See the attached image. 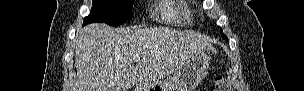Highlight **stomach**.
<instances>
[{
    "mask_svg": "<svg viewBox=\"0 0 304 91\" xmlns=\"http://www.w3.org/2000/svg\"><path fill=\"white\" fill-rule=\"evenodd\" d=\"M209 61L207 52H195L167 82L156 86H142L137 91H193L207 75Z\"/></svg>",
    "mask_w": 304,
    "mask_h": 91,
    "instance_id": "0dacf381",
    "label": "stomach"
}]
</instances>
